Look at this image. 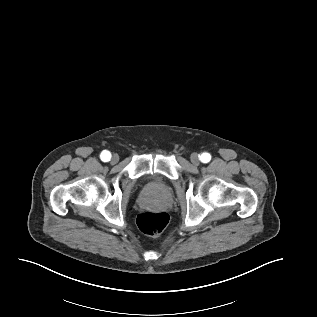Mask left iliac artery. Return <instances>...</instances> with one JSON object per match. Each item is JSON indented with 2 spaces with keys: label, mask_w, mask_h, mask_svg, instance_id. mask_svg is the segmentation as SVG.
<instances>
[{
  "label": "left iliac artery",
  "mask_w": 317,
  "mask_h": 317,
  "mask_svg": "<svg viewBox=\"0 0 317 317\" xmlns=\"http://www.w3.org/2000/svg\"><path fill=\"white\" fill-rule=\"evenodd\" d=\"M199 157L203 163H208L211 160V155L209 153H202Z\"/></svg>",
  "instance_id": "44dca946"
}]
</instances>
